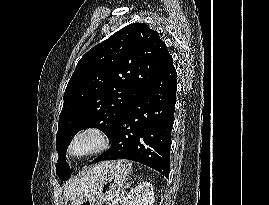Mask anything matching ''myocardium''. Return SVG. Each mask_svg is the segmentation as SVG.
<instances>
[{
	"instance_id": "1",
	"label": "myocardium",
	"mask_w": 269,
	"mask_h": 205,
	"mask_svg": "<svg viewBox=\"0 0 269 205\" xmlns=\"http://www.w3.org/2000/svg\"><path fill=\"white\" fill-rule=\"evenodd\" d=\"M84 135H93L97 139V146L91 151L84 153L82 155H75L72 151L73 145L76 140ZM111 145V139L107 131L100 125L92 124L84 126L78 129L70 138L67 152L68 155L75 159H85L98 154H101L108 150Z\"/></svg>"
}]
</instances>
